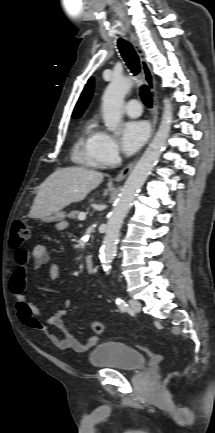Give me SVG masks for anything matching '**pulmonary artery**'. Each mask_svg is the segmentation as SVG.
<instances>
[{
  "instance_id": "pulmonary-artery-1",
  "label": "pulmonary artery",
  "mask_w": 215,
  "mask_h": 433,
  "mask_svg": "<svg viewBox=\"0 0 215 433\" xmlns=\"http://www.w3.org/2000/svg\"><path fill=\"white\" fill-rule=\"evenodd\" d=\"M125 112L130 117H138L141 115V103L137 99H131L125 104Z\"/></svg>"
}]
</instances>
